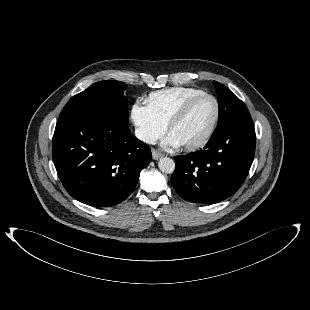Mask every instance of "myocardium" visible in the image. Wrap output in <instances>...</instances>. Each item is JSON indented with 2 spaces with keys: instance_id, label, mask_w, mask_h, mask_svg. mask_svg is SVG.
<instances>
[{
  "instance_id": "1",
  "label": "myocardium",
  "mask_w": 310,
  "mask_h": 310,
  "mask_svg": "<svg viewBox=\"0 0 310 310\" xmlns=\"http://www.w3.org/2000/svg\"><path fill=\"white\" fill-rule=\"evenodd\" d=\"M204 98H209L214 102L215 114H214L213 120L209 128L205 132V134L200 139L192 143L180 144V146L184 150H187V151L198 150L202 148L203 146H205L208 143V141L211 139L212 135L215 132V129L217 127V124L220 118V104L218 100L213 95L208 94V93H203L198 96H195L189 99L188 101H186L168 122V131L171 132L173 128L187 116V114L189 113L193 105Z\"/></svg>"
}]
</instances>
